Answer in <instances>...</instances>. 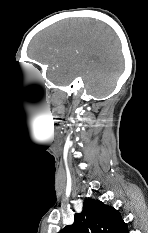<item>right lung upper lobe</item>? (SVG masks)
Returning <instances> with one entry per match:
<instances>
[{"instance_id":"cb5924a9","label":"right lung upper lobe","mask_w":148,"mask_h":233,"mask_svg":"<svg viewBox=\"0 0 148 233\" xmlns=\"http://www.w3.org/2000/svg\"><path fill=\"white\" fill-rule=\"evenodd\" d=\"M59 233H128L118 210L99 200L86 199L83 210L74 215V223Z\"/></svg>"}]
</instances>
